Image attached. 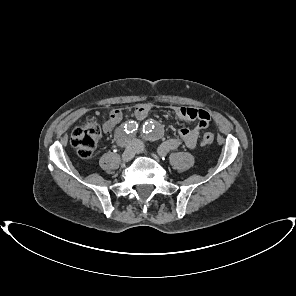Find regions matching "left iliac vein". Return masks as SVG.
<instances>
[{"instance_id": "4c4485c4", "label": "left iliac vein", "mask_w": 296, "mask_h": 296, "mask_svg": "<svg viewBox=\"0 0 296 296\" xmlns=\"http://www.w3.org/2000/svg\"><path fill=\"white\" fill-rule=\"evenodd\" d=\"M134 145H135V150L137 153H141L144 150V145L142 142L135 140L134 141Z\"/></svg>"}]
</instances>
